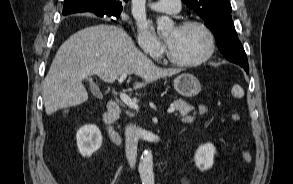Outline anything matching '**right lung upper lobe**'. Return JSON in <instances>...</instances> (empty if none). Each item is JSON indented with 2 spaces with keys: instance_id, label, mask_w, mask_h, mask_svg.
Wrapping results in <instances>:
<instances>
[{
  "instance_id": "cb5924a9",
  "label": "right lung upper lobe",
  "mask_w": 293,
  "mask_h": 184,
  "mask_svg": "<svg viewBox=\"0 0 293 184\" xmlns=\"http://www.w3.org/2000/svg\"><path fill=\"white\" fill-rule=\"evenodd\" d=\"M122 0H64L63 15L90 12L97 16L101 11H122ZM128 1V0H123Z\"/></svg>"
}]
</instances>
